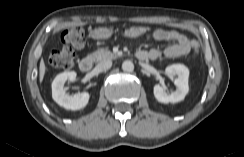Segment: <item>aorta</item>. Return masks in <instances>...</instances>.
Masks as SVG:
<instances>
[{
  "label": "aorta",
  "instance_id": "762f6f07",
  "mask_svg": "<svg viewBox=\"0 0 244 157\" xmlns=\"http://www.w3.org/2000/svg\"><path fill=\"white\" fill-rule=\"evenodd\" d=\"M122 69L124 72H133L134 64L130 60H126L122 63Z\"/></svg>",
  "mask_w": 244,
  "mask_h": 157
}]
</instances>
